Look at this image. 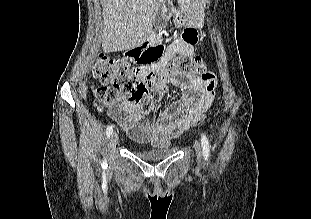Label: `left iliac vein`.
Instances as JSON below:
<instances>
[{
	"label": "left iliac vein",
	"instance_id": "obj_1",
	"mask_svg": "<svg viewBox=\"0 0 311 219\" xmlns=\"http://www.w3.org/2000/svg\"><path fill=\"white\" fill-rule=\"evenodd\" d=\"M195 151H196V157L198 161H201L202 159V147L198 140L194 143Z\"/></svg>",
	"mask_w": 311,
	"mask_h": 219
}]
</instances>
